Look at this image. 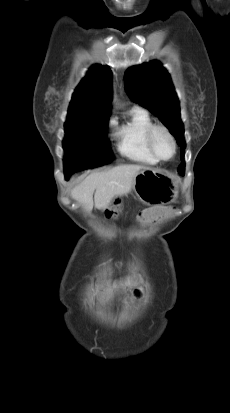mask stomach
Wrapping results in <instances>:
<instances>
[{
	"label": "stomach",
	"instance_id": "0dacf381",
	"mask_svg": "<svg viewBox=\"0 0 230 413\" xmlns=\"http://www.w3.org/2000/svg\"><path fill=\"white\" fill-rule=\"evenodd\" d=\"M133 190L139 201L147 205H166L177 197V184L167 172L143 167L133 180Z\"/></svg>",
	"mask_w": 230,
	"mask_h": 413
}]
</instances>
